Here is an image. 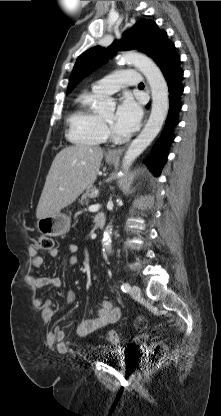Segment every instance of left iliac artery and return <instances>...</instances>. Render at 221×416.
I'll list each match as a JSON object with an SVG mask.
<instances>
[{
  "label": "left iliac artery",
  "instance_id": "obj_1",
  "mask_svg": "<svg viewBox=\"0 0 221 416\" xmlns=\"http://www.w3.org/2000/svg\"><path fill=\"white\" fill-rule=\"evenodd\" d=\"M121 289H122L123 292H129V290H130L129 283H123L122 286H121Z\"/></svg>",
  "mask_w": 221,
  "mask_h": 416
}]
</instances>
